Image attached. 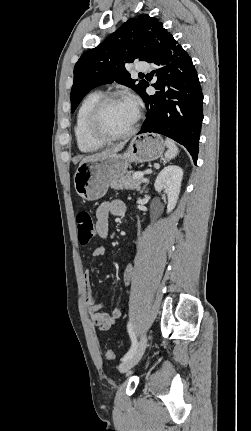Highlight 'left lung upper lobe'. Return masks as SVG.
<instances>
[{
    "label": "left lung upper lobe",
    "mask_w": 251,
    "mask_h": 431,
    "mask_svg": "<svg viewBox=\"0 0 251 431\" xmlns=\"http://www.w3.org/2000/svg\"><path fill=\"white\" fill-rule=\"evenodd\" d=\"M169 35L156 18L142 14L129 19L96 48L84 52L74 68L71 112L91 89L114 81L141 95L146 81L132 80L125 65L135 59L148 62L154 46Z\"/></svg>",
    "instance_id": "1"
}]
</instances>
